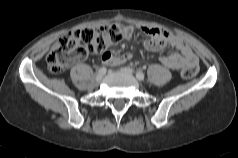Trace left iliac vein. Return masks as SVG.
Segmentation results:
<instances>
[{
    "instance_id": "obj_1",
    "label": "left iliac vein",
    "mask_w": 238,
    "mask_h": 158,
    "mask_svg": "<svg viewBox=\"0 0 238 158\" xmlns=\"http://www.w3.org/2000/svg\"><path fill=\"white\" fill-rule=\"evenodd\" d=\"M123 72L132 75L133 74V70L130 69L129 67H124L121 69Z\"/></svg>"
}]
</instances>
